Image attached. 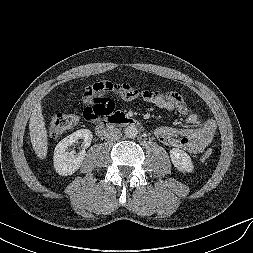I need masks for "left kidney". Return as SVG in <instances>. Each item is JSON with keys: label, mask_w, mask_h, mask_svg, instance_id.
Wrapping results in <instances>:
<instances>
[{"label": "left kidney", "mask_w": 253, "mask_h": 253, "mask_svg": "<svg viewBox=\"0 0 253 253\" xmlns=\"http://www.w3.org/2000/svg\"><path fill=\"white\" fill-rule=\"evenodd\" d=\"M170 158L173 165L181 172H192L194 165L190 156L179 148H172L170 150Z\"/></svg>", "instance_id": "left-kidney-1"}]
</instances>
